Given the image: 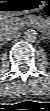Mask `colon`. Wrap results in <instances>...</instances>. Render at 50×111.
<instances>
[{"instance_id":"obj_1","label":"colon","mask_w":50,"mask_h":111,"mask_svg":"<svg viewBox=\"0 0 50 111\" xmlns=\"http://www.w3.org/2000/svg\"><path fill=\"white\" fill-rule=\"evenodd\" d=\"M47 13H50V8H47Z\"/></svg>"}]
</instances>
